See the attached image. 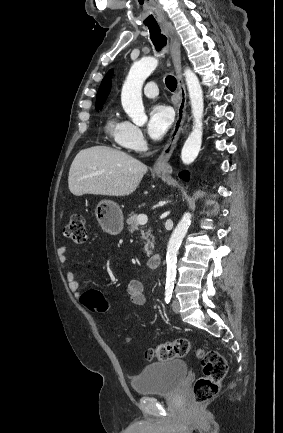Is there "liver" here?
Listing matches in <instances>:
<instances>
[{
  "label": "liver",
  "instance_id": "6515ba94",
  "mask_svg": "<svg viewBox=\"0 0 283 433\" xmlns=\"http://www.w3.org/2000/svg\"><path fill=\"white\" fill-rule=\"evenodd\" d=\"M148 168L146 164L111 146H90L76 154L69 170L72 194L126 196L136 190Z\"/></svg>",
  "mask_w": 283,
  "mask_h": 433
}]
</instances>
